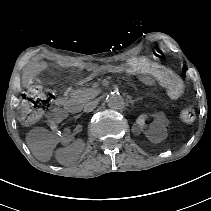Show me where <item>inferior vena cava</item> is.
Returning a JSON list of instances; mask_svg holds the SVG:
<instances>
[{
  "instance_id": "602c4592",
  "label": "inferior vena cava",
  "mask_w": 211,
  "mask_h": 211,
  "mask_svg": "<svg viewBox=\"0 0 211 211\" xmlns=\"http://www.w3.org/2000/svg\"><path fill=\"white\" fill-rule=\"evenodd\" d=\"M94 107H95V102H90L85 106L84 111H92Z\"/></svg>"
}]
</instances>
